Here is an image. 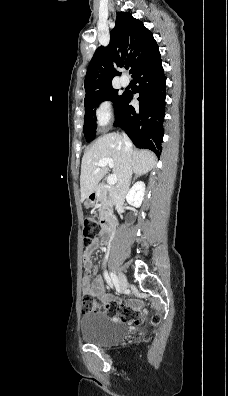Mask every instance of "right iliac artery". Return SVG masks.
Here are the masks:
<instances>
[{
	"instance_id": "obj_1",
	"label": "right iliac artery",
	"mask_w": 228,
	"mask_h": 396,
	"mask_svg": "<svg viewBox=\"0 0 228 396\" xmlns=\"http://www.w3.org/2000/svg\"><path fill=\"white\" fill-rule=\"evenodd\" d=\"M110 278H111L113 284H114L116 287H118V286H119V280H118L117 276H116L114 273L111 272V273H110ZM111 280L108 281V284H109V285H111Z\"/></svg>"
}]
</instances>
